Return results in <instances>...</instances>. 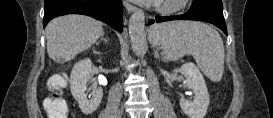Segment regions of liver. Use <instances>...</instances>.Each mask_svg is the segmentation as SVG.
I'll use <instances>...</instances> for the list:
<instances>
[{"mask_svg":"<svg viewBox=\"0 0 273 118\" xmlns=\"http://www.w3.org/2000/svg\"><path fill=\"white\" fill-rule=\"evenodd\" d=\"M102 33V22L88 16L55 18L46 27L48 55L55 62H68L89 49Z\"/></svg>","mask_w":273,"mask_h":118,"instance_id":"1","label":"liver"}]
</instances>
